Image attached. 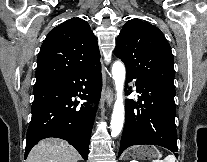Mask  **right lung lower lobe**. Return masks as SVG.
Instances as JSON below:
<instances>
[{
	"label": "right lung lower lobe",
	"mask_w": 207,
	"mask_h": 162,
	"mask_svg": "<svg viewBox=\"0 0 207 162\" xmlns=\"http://www.w3.org/2000/svg\"><path fill=\"white\" fill-rule=\"evenodd\" d=\"M101 64L71 72L34 86L32 118L26 136L25 158L40 140L57 137L67 140L88 160L90 135L95 109L89 103L78 106L72 97L82 92L81 99L100 100Z\"/></svg>",
	"instance_id": "1"
}]
</instances>
